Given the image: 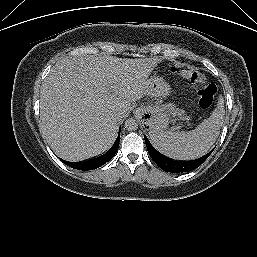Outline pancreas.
<instances>
[{"label": "pancreas", "instance_id": "pancreas-1", "mask_svg": "<svg viewBox=\"0 0 257 257\" xmlns=\"http://www.w3.org/2000/svg\"><path fill=\"white\" fill-rule=\"evenodd\" d=\"M170 109H171V110H170L171 114H172L173 116H176V117H181V116H183L184 113H185L184 110H181V109L176 108V107H174V106H171Z\"/></svg>", "mask_w": 257, "mask_h": 257}]
</instances>
